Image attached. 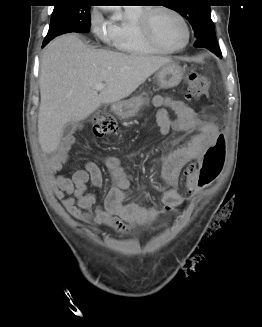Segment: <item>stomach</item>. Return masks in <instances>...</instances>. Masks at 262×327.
<instances>
[{
  "label": "stomach",
  "mask_w": 262,
  "mask_h": 327,
  "mask_svg": "<svg viewBox=\"0 0 262 327\" xmlns=\"http://www.w3.org/2000/svg\"><path fill=\"white\" fill-rule=\"evenodd\" d=\"M184 74V69L175 62L168 63L161 67L157 74V83L161 88H171L177 86ZM148 102L147 98L135 96L128 100L119 101L111 105V110L115 115L121 118H130L135 116L141 107Z\"/></svg>",
  "instance_id": "obj_1"
}]
</instances>
